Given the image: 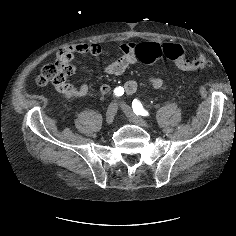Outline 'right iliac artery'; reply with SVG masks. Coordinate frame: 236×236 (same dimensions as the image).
<instances>
[{
    "mask_svg": "<svg viewBox=\"0 0 236 236\" xmlns=\"http://www.w3.org/2000/svg\"><path fill=\"white\" fill-rule=\"evenodd\" d=\"M113 94L115 96H122L124 94V89L123 87L119 86V87H116L113 91Z\"/></svg>",
    "mask_w": 236,
    "mask_h": 236,
    "instance_id": "obj_1",
    "label": "right iliac artery"
}]
</instances>
